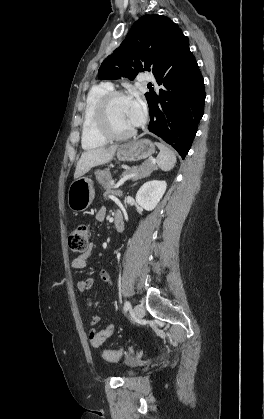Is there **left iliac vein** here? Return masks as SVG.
Listing matches in <instances>:
<instances>
[{
  "label": "left iliac vein",
  "mask_w": 264,
  "mask_h": 419,
  "mask_svg": "<svg viewBox=\"0 0 264 419\" xmlns=\"http://www.w3.org/2000/svg\"><path fill=\"white\" fill-rule=\"evenodd\" d=\"M133 314H134L135 319L137 320L142 319L145 315V309L143 305L141 304L136 305L133 309Z\"/></svg>",
  "instance_id": "left-iliac-vein-1"
}]
</instances>
